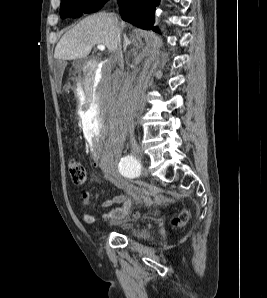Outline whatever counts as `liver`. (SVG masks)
Returning <instances> with one entry per match:
<instances>
[{"label": "liver", "instance_id": "obj_1", "mask_svg": "<svg viewBox=\"0 0 267 298\" xmlns=\"http://www.w3.org/2000/svg\"><path fill=\"white\" fill-rule=\"evenodd\" d=\"M124 25L105 12L87 16L62 36L56 45L54 57L64 61L86 58L97 44L106 46L113 53L119 45L117 29L120 32Z\"/></svg>", "mask_w": 267, "mask_h": 298}]
</instances>
